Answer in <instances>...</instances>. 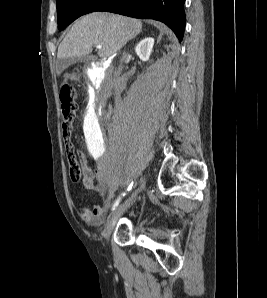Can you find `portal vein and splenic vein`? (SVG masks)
<instances>
[{
    "instance_id": "1",
    "label": "portal vein and splenic vein",
    "mask_w": 267,
    "mask_h": 298,
    "mask_svg": "<svg viewBox=\"0 0 267 298\" xmlns=\"http://www.w3.org/2000/svg\"><path fill=\"white\" fill-rule=\"evenodd\" d=\"M96 48H97V49H101L102 46H101V45H97Z\"/></svg>"
}]
</instances>
